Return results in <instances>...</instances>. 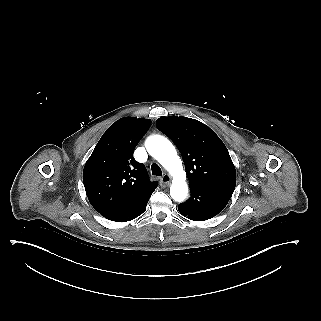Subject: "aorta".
I'll use <instances>...</instances> for the list:
<instances>
[{
  "mask_svg": "<svg viewBox=\"0 0 321 321\" xmlns=\"http://www.w3.org/2000/svg\"><path fill=\"white\" fill-rule=\"evenodd\" d=\"M145 146L148 153L172 175L171 197L177 202L184 201L188 194L186 173L175 147L161 135H153L147 138Z\"/></svg>",
  "mask_w": 321,
  "mask_h": 321,
  "instance_id": "1",
  "label": "aorta"
}]
</instances>
